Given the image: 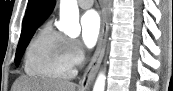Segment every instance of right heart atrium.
Listing matches in <instances>:
<instances>
[{
  "label": "right heart atrium",
  "mask_w": 173,
  "mask_h": 91,
  "mask_svg": "<svg viewBox=\"0 0 173 91\" xmlns=\"http://www.w3.org/2000/svg\"><path fill=\"white\" fill-rule=\"evenodd\" d=\"M66 53L73 67L80 65L84 59V50L77 39H66Z\"/></svg>",
  "instance_id": "right-heart-atrium-1"
}]
</instances>
